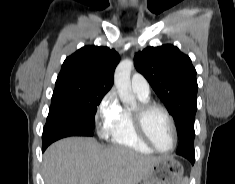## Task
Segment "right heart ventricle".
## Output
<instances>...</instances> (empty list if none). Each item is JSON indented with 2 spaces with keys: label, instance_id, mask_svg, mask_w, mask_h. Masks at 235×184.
Wrapping results in <instances>:
<instances>
[{
  "label": "right heart ventricle",
  "instance_id": "right-heart-ventricle-1",
  "mask_svg": "<svg viewBox=\"0 0 235 184\" xmlns=\"http://www.w3.org/2000/svg\"><path fill=\"white\" fill-rule=\"evenodd\" d=\"M142 103H148L149 99L140 98ZM108 152L113 156H118L124 152L140 153L149 155L153 151L147 143L137 134L132 113L123 109L120 121L112 134L110 143L107 145Z\"/></svg>",
  "mask_w": 235,
  "mask_h": 184
}]
</instances>
